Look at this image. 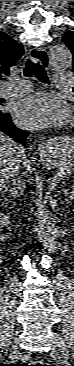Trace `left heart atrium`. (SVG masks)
<instances>
[{
  "mask_svg": "<svg viewBox=\"0 0 74 366\" xmlns=\"http://www.w3.org/2000/svg\"><path fill=\"white\" fill-rule=\"evenodd\" d=\"M13 113L19 125L35 129L59 125L66 117L60 99L48 93H38L18 101Z\"/></svg>",
  "mask_w": 74,
  "mask_h": 366,
  "instance_id": "left-heart-atrium-1",
  "label": "left heart atrium"
}]
</instances>
